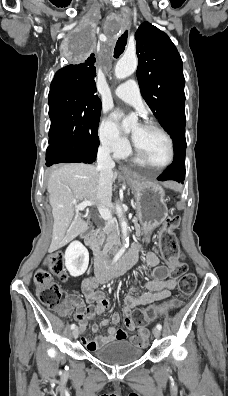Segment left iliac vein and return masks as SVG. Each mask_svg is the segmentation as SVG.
I'll use <instances>...</instances> for the list:
<instances>
[{
    "label": "left iliac vein",
    "instance_id": "1",
    "mask_svg": "<svg viewBox=\"0 0 228 396\" xmlns=\"http://www.w3.org/2000/svg\"><path fill=\"white\" fill-rule=\"evenodd\" d=\"M152 332H153V335H154L155 338H159L160 335H161L160 330L157 329V328H154Z\"/></svg>",
    "mask_w": 228,
    "mask_h": 396
}]
</instances>
